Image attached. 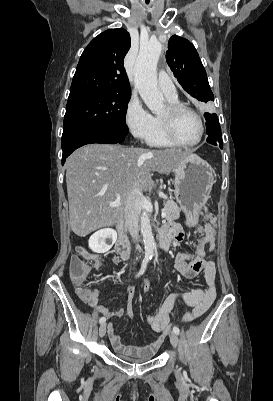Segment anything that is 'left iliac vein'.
Returning a JSON list of instances; mask_svg holds the SVG:
<instances>
[{"label":"left iliac vein","mask_w":273,"mask_h":401,"mask_svg":"<svg viewBox=\"0 0 273 401\" xmlns=\"http://www.w3.org/2000/svg\"><path fill=\"white\" fill-rule=\"evenodd\" d=\"M170 341L172 343V345L174 346V348H176L179 344V337L177 334L175 333H171L170 334Z\"/></svg>","instance_id":"obj_1"}]
</instances>
